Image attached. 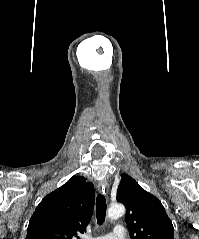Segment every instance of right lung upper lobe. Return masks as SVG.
Wrapping results in <instances>:
<instances>
[{"mask_svg": "<svg viewBox=\"0 0 199 239\" xmlns=\"http://www.w3.org/2000/svg\"><path fill=\"white\" fill-rule=\"evenodd\" d=\"M94 202L93 184L85 177H71L37 206L29 221L26 239L77 237V232L83 233L89 223Z\"/></svg>", "mask_w": 199, "mask_h": 239, "instance_id": "1", "label": "right lung upper lobe"}]
</instances>
